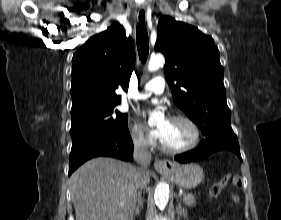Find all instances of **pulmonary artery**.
<instances>
[{"label":"pulmonary artery","mask_w":281,"mask_h":220,"mask_svg":"<svg viewBox=\"0 0 281 220\" xmlns=\"http://www.w3.org/2000/svg\"><path fill=\"white\" fill-rule=\"evenodd\" d=\"M165 89V80L162 77H155L150 80L144 87L143 93L140 95V99H148L155 95H161Z\"/></svg>","instance_id":"e3ab8cb5"}]
</instances>
